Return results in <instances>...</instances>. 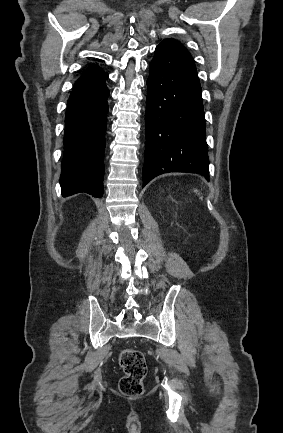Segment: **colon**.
Segmentation results:
<instances>
[{"label": "colon", "instance_id": "5ec220e1", "mask_svg": "<svg viewBox=\"0 0 283 433\" xmlns=\"http://www.w3.org/2000/svg\"><path fill=\"white\" fill-rule=\"evenodd\" d=\"M123 376L119 380V390L125 396L136 397L143 392V380L147 374L144 354L133 348L124 349L119 357Z\"/></svg>", "mask_w": 283, "mask_h": 433}]
</instances>
